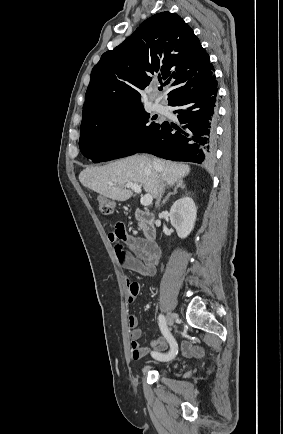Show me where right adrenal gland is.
<instances>
[{"label": "right adrenal gland", "mask_w": 283, "mask_h": 434, "mask_svg": "<svg viewBox=\"0 0 283 434\" xmlns=\"http://www.w3.org/2000/svg\"><path fill=\"white\" fill-rule=\"evenodd\" d=\"M178 188H181V189H184V188H185V185H184V183H183V180H179V181L177 182V184H176V186H175V188H174V191H173L172 193H169V194L166 196V198H165V199L163 200V202H162V205H165V204H166L167 200L169 199V197H170L171 195H175V194L177 193Z\"/></svg>", "instance_id": "right-adrenal-gland-1"}]
</instances>
